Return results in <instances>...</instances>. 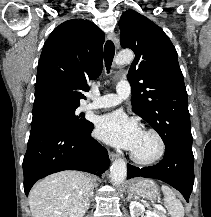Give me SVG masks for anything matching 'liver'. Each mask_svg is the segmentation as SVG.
<instances>
[{"label": "liver", "mask_w": 211, "mask_h": 217, "mask_svg": "<svg viewBox=\"0 0 211 217\" xmlns=\"http://www.w3.org/2000/svg\"><path fill=\"white\" fill-rule=\"evenodd\" d=\"M92 190L91 179L82 172L52 174L29 193L32 217H83Z\"/></svg>", "instance_id": "liver-1"}]
</instances>
